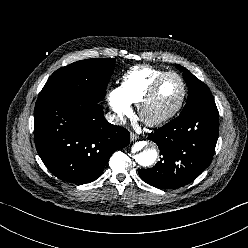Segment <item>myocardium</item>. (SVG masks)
Here are the masks:
<instances>
[{
	"mask_svg": "<svg viewBox=\"0 0 248 248\" xmlns=\"http://www.w3.org/2000/svg\"><path fill=\"white\" fill-rule=\"evenodd\" d=\"M169 76H175L179 79L181 86H182V92L179 101L175 106H173L171 109L158 113V114H152L150 112L151 105L155 99V96L157 94V91L161 85V83ZM187 96V85L183 77L173 71H167L157 77L154 82L149 87L147 93L145 94L142 101L139 103V115L140 118L149 126H160L164 124L165 122L172 119L183 107L185 99Z\"/></svg>",
	"mask_w": 248,
	"mask_h": 248,
	"instance_id": "1",
	"label": "myocardium"
}]
</instances>
